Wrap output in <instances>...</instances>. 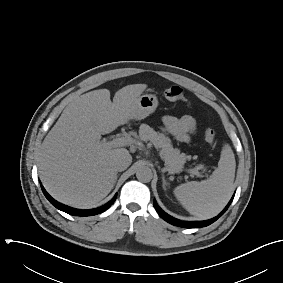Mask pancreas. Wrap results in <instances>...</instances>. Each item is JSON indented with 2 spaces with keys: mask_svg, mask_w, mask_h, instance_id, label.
Masks as SVG:
<instances>
[{
  "mask_svg": "<svg viewBox=\"0 0 283 283\" xmlns=\"http://www.w3.org/2000/svg\"><path fill=\"white\" fill-rule=\"evenodd\" d=\"M139 137L141 140L150 141L155 147L161 148L163 160L172 172L181 171L187 160V155L180 153L179 149H174L169 137L156 132L147 124H141Z\"/></svg>",
  "mask_w": 283,
  "mask_h": 283,
  "instance_id": "1",
  "label": "pancreas"
}]
</instances>
